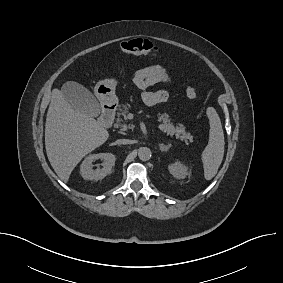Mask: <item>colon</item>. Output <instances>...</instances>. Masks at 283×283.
Listing matches in <instances>:
<instances>
[{"mask_svg":"<svg viewBox=\"0 0 283 283\" xmlns=\"http://www.w3.org/2000/svg\"><path fill=\"white\" fill-rule=\"evenodd\" d=\"M121 51L125 54L132 55H155L159 49L152 42L147 39L135 38L123 41L120 45ZM186 96L195 100L197 98V91L193 86H188L185 90Z\"/></svg>","mask_w":283,"mask_h":283,"instance_id":"colon-1","label":"colon"}]
</instances>
